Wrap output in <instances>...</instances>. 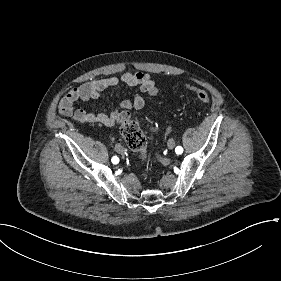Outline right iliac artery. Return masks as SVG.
Instances as JSON below:
<instances>
[{"label":"right iliac artery","instance_id":"82829eb1","mask_svg":"<svg viewBox=\"0 0 281 281\" xmlns=\"http://www.w3.org/2000/svg\"><path fill=\"white\" fill-rule=\"evenodd\" d=\"M119 162V158L117 156H114L112 158V163L117 164Z\"/></svg>","mask_w":281,"mask_h":281}]
</instances>
